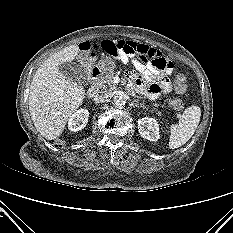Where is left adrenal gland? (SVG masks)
I'll use <instances>...</instances> for the list:
<instances>
[{
  "label": "left adrenal gland",
  "mask_w": 233,
  "mask_h": 233,
  "mask_svg": "<svg viewBox=\"0 0 233 233\" xmlns=\"http://www.w3.org/2000/svg\"><path fill=\"white\" fill-rule=\"evenodd\" d=\"M134 102H137V103H138V101H137V100H134Z\"/></svg>",
  "instance_id": "a2214340"
}]
</instances>
